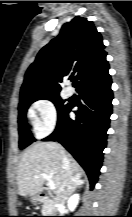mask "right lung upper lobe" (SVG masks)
<instances>
[{
    "mask_svg": "<svg viewBox=\"0 0 132 217\" xmlns=\"http://www.w3.org/2000/svg\"><path fill=\"white\" fill-rule=\"evenodd\" d=\"M106 55L93 22L77 16L39 51L25 74L20 98L59 94L58 82L67 78L77 89L104 81L110 77Z\"/></svg>",
    "mask_w": 132,
    "mask_h": 217,
    "instance_id": "obj_1",
    "label": "right lung upper lobe"
}]
</instances>
